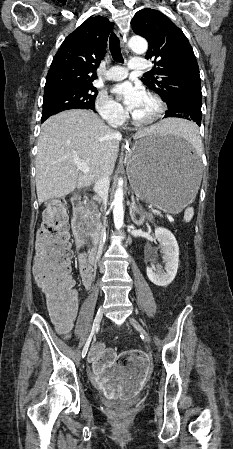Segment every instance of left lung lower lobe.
<instances>
[{
  "mask_svg": "<svg viewBox=\"0 0 233 449\" xmlns=\"http://www.w3.org/2000/svg\"><path fill=\"white\" fill-rule=\"evenodd\" d=\"M167 117H178V118H184L187 120H193L200 126L202 113H201V111H199L197 109L186 108V107H175L173 110H168L166 112L164 118H167Z\"/></svg>",
  "mask_w": 233,
  "mask_h": 449,
  "instance_id": "0a47b994",
  "label": "left lung lower lobe"
}]
</instances>
